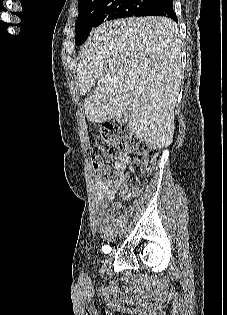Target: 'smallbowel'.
<instances>
[{
    "instance_id": "c3829d8e",
    "label": "small bowel",
    "mask_w": 227,
    "mask_h": 315,
    "mask_svg": "<svg viewBox=\"0 0 227 315\" xmlns=\"http://www.w3.org/2000/svg\"><path fill=\"white\" fill-rule=\"evenodd\" d=\"M130 166L129 157L121 153L115 162V176L109 181H95V191L97 196V206L99 208V214L97 218V228L99 232H106L116 222L115 217L122 211V204L116 203L111 210H107L105 205L107 202H111L116 193L119 192L124 200L131 197L136 193V190H130L126 183V169Z\"/></svg>"
}]
</instances>
